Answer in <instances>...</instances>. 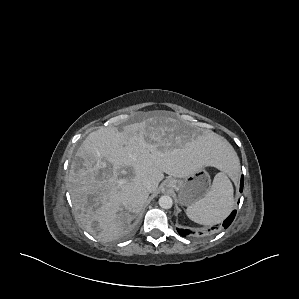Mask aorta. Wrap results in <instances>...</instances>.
Returning a JSON list of instances; mask_svg holds the SVG:
<instances>
[{
	"instance_id": "obj_1",
	"label": "aorta",
	"mask_w": 299,
	"mask_h": 299,
	"mask_svg": "<svg viewBox=\"0 0 299 299\" xmlns=\"http://www.w3.org/2000/svg\"><path fill=\"white\" fill-rule=\"evenodd\" d=\"M173 205V200L170 196L164 195L159 198V206L163 209H170Z\"/></svg>"
}]
</instances>
